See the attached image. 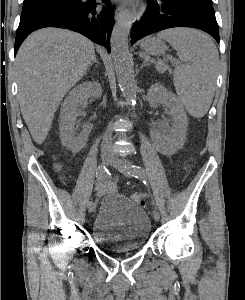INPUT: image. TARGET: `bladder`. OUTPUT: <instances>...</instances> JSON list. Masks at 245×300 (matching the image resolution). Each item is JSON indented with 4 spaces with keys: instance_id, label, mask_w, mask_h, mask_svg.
Wrapping results in <instances>:
<instances>
[{
    "instance_id": "obj_1",
    "label": "bladder",
    "mask_w": 245,
    "mask_h": 300,
    "mask_svg": "<svg viewBox=\"0 0 245 300\" xmlns=\"http://www.w3.org/2000/svg\"><path fill=\"white\" fill-rule=\"evenodd\" d=\"M151 222L145 210L119 193L107 194L92 225L93 240L112 252H133L147 243Z\"/></svg>"
}]
</instances>
